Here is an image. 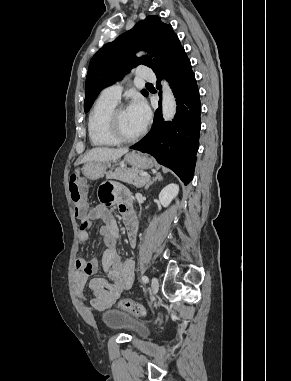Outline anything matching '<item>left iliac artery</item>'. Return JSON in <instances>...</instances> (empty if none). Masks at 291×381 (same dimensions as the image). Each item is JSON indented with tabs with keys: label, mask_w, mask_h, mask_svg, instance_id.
I'll list each match as a JSON object with an SVG mask.
<instances>
[{
	"label": "left iliac artery",
	"mask_w": 291,
	"mask_h": 381,
	"mask_svg": "<svg viewBox=\"0 0 291 381\" xmlns=\"http://www.w3.org/2000/svg\"><path fill=\"white\" fill-rule=\"evenodd\" d=\"M142 281H143L144 283H148V282H149V279H148V277H147L146 275H144V276H142Z\"/></svg>",
	"instance_id": "44dca946"
}]
</instances>
